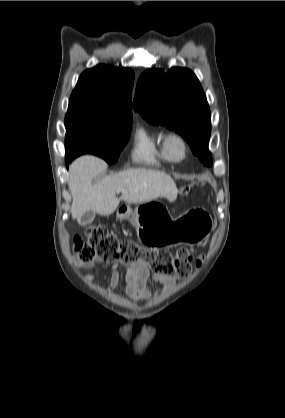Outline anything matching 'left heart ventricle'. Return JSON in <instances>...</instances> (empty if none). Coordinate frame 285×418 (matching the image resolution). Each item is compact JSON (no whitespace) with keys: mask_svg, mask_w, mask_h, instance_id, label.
I'll use <instances>...</instances> for the list:
<instances>
[{"mask_svg":"<svg viewBox=\"0 0 285 418\" xmlns=\"http://www.w3.org/2000/svg\"><path fill=\"white\" fill-rule=\"evenodd\" d=\"M171 151L174 156L178 157L181 155L182 148L181 145L178 142H172L171 143Z\"/></svg>","mask_w":285,"mask_h":418,"instance_id":"obj_1","label":"left heart ventricle"}]
</instances>
